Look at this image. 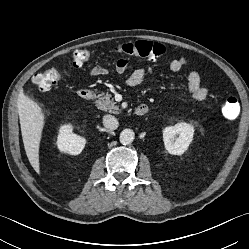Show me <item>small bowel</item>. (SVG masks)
I'll use <instances>...</instances> for the list:
<instances>
[{
	"label": "small bowel",
	"instance_id": "obj_1",
	"mask_svg": "<svg viewBox=\"0 0 249 249\" xmlns=\"http://www.w3.org/2000/svg\"><path fill=\"white\" fill-rule=\"evenodd\" d=\"M185 64H186L185 58L179 57L170 61L169 68L172 72H179L184 67ZM127 66H128L127 60L120 59L116 63V71L119 74H122L126 71ZM107 73H108L107 68L102 65H97L93 67L90 71V75L93 77H100L106 75ZM143 77H144L143 69H136L129 76L127 82L130 86H136L141 83ZM187 88L191 97L196 101H202L208 95V88L203 83L199 73L196 71H192L189 73Z\"/></svg>",
	"mask_w": 249,
	"mask_h": 249
}]
</instances>
